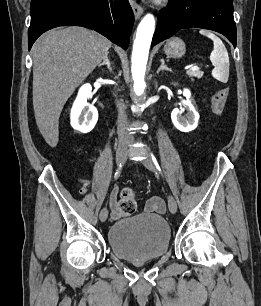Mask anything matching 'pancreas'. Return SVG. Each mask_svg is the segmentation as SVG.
<instances>
[{
    "label": "pancreas",
    "instance_id": "cf45deb5",
    "mask_svg": "<svg viewBox=\"0 0 261 306\" xmlns=\"http://www.w3.org/2000/svg\"><path fill=\"white\" fill-rule=\"evenodd\" d=\"M187 75L191 78H193V77L201 78L203 76V72H201V71H188Z\"/></svg>",
    "mask_w": 261,
    "mask_h": 306
}]
</instances>
